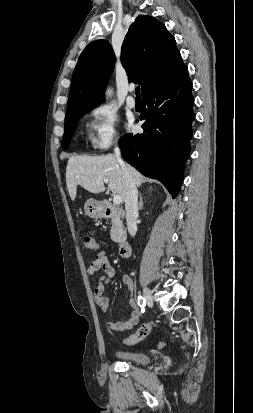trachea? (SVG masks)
I'll return each instance as SVG.
<instances>
[{"label":"trachea","instance_id":"1","mask_svg":"<svg viewBox=\"0 0 253 413\" xmlns=\"http://www.w3.org/2000/svg\"><path fill=\"white\" fill-rule=\"evenodd\" d=\"M135 94H136V98H140V87H136L135 88Z\"/></svg>","mask_w":253,"mask_h":413}]
</instances>
